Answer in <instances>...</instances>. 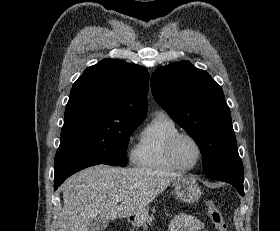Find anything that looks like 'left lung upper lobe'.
<instances>
[{"label": "left lung upper lobe", "mask_w": 280, "mask_h": 231, "mask_svg": "<svg viewBox=\"0 0 280 231\" xmlns=\"http://www.w3.org/2000/svg\"><path fill=\"white\" fill-rule=\"evenodd\" d=\"M155 100L197 143L207 174L239 156L222 88L188 61L158 68L151 78Z\"/></svg>", "instance_id": "5c2ea615"}]
</instances>
